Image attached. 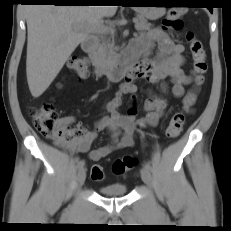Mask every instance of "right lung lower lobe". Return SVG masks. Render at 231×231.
<instances>
[{"label":"right lung lower lobe","mask_w":231,"mask_h":231,"mask_svg":"<svg viewBox=\"0 0 231 231\" xmlns=\"http://www.w3.org/2000/svg\"><path fill=\"white\" fill-rule=\"evenodd\" d=\"M28 3H51L54 5H84L83 0H25Z\"/></svg>","instance_id":"1"}]
</instances>
